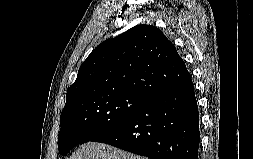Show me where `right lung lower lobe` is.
Masks as SVG:
<instances>
[{
	"mask_svg": "<svg viewBox=\"0 0 253 159\" xmlns=\"http://www.w3.org/2000/svg\"><path fill=\"white\" fill-rule=\"evenodd\" d=\"M92 141L151 159H198L199 113L191 77L147 98L124 122Z\"/></svg>",
	"mask_w": 253,
	"mask_h": 159,
	"instance_id": "98d812e1",
	"label": "right lung lower lobe"
}]
</instances>
